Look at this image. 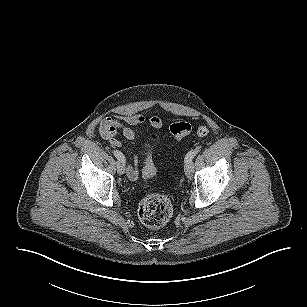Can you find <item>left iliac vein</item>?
Returning <instances> with one entry per match:
<instances>
[{
    "instance_id": "left-iliac-vein-1",
    "label": "left iliac vein",
    "mask_w": 307,
    "mask_h": 307,
    "mask_svg": "<svg viewBox=\"0 0 307 307\" xmlns=\"http://www.w3.org/2000/svg\"><path fill=\"white\" fill-rule=\"evenodd\" d=\"M184 170H185V175L187 176V178H192L193 172H194L193 162L190 161V162L186 163Z\"/></svg>"
}]
</instances>
